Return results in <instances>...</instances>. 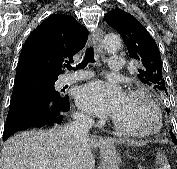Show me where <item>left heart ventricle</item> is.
<instances>
[{
    "label": "left heart ventricle",
    "mask_w": 177,
    "mask_h": 169,
    "mask_svg": "<svg viewBox=\"0 0 177 169\" xmlns=\"http://www.w3.org/2000/svg\"><path fill=\"white\" fill-rule=\"evenodd\" d=\"M123 127L137 131L154 126V115L147 104L140 98L124 97L122 105L112 117Z\"/></svg>",
    "instance_id": "b2bd125f"
}]
</instances>
